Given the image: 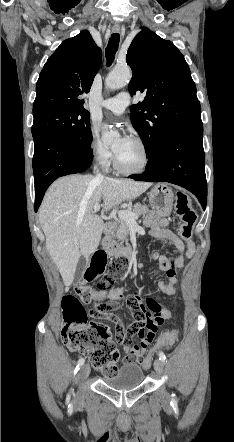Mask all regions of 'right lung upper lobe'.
<instances>
[{"mask_svg": "<svg viewBox=\"0 0 234 442\" xmlns=\"http://www.w3.org/2000/svg\"><path fill=\"white\" fill-rule=\"evenodd\" d=\"M101 56V49L86 30L63 41L40 73L33 116L58 109H85L81 96L89 92Z\"/></svg>", "mask_w": 234, "mask_h": 442, "instance_id": "right-lung-upper-lobe-1", "label": "right lung upper lobe"}]
</instances>
